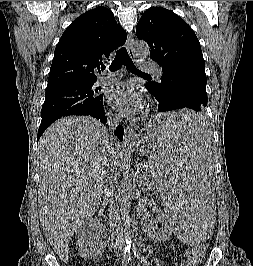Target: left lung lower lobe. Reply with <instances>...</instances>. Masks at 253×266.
<instances>
[{"mask_svg": "<svg viewBox=\"0 0 253 266\" xmlns=\"http://www.w3.org/2000/svg\"><path fill=\"white\" fill-rule=\"evenodd\" d=\"M206 83L201 78L190 73H178L168 77L160 98L156 89L146 84V89L157 99L158 112H168L178 109H191L196 116L191 121L174 126L178 133L198 134L205 130L203 113L207 105ZM167 128L158 127L156 131L163 132Z\"/></svg>", "mask_w": 253, "mask_h": 266, "instance_id": "0a47b994", "label": "left lung lower lobe"}]
</instances>
